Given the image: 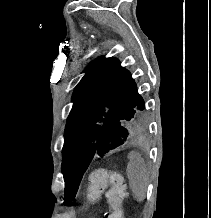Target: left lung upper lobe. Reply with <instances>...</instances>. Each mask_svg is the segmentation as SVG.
<instances>
[{"label":"left lung upper lobe","mask_w":211,"mask_h":218,"mask_svg":"<svg viewBox=\"0 0 211 218\" xmlns=\"http://www.w3.org/2000/svg\"><path fill=\"white\" fill-rule=\"evenodd\" d=\"M84 72L73 92L65 128V202L75 197L93 157L135 139L146 121L138 86L118 59L100 56Z\"/></svg>","instance_id":"left-lung-upper-lobe-1"}]
</instances>
